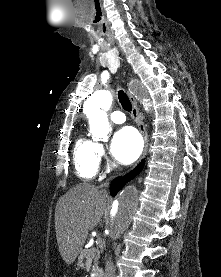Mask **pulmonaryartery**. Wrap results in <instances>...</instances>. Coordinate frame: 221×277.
Wrapping results in <instances>:
<instances>
[{"label":"pulmonary artery","instance_id":"1","mask_svg":"<svg viewBox=\"0 0 221 277\" xmlns=\"http://www.w3.org/2000/svg\"><path fill=\"white\" fill-rule=\"evenodd\" d=\"M111 120L116 124H122L125 122L126 117L121 111H113L110 115Z\"/></svg>","mask_w":221,"mask_h":277}]
</instances>
